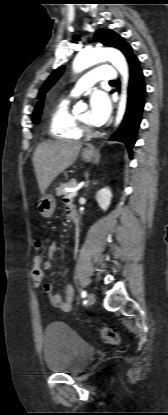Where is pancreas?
Returning <instances> with one entry per match:
<instances>
[{"mask_svg": "<svg viewBox=\"0 0 168 415\" xmlns=\"http://www.w3.org/2000/svg\"><path fill=\"white\" fill-rule=\"evenodd\" d=\"M77 186V181H69L66 183H61L60 186L56 189L57 196L68 195L69 192L65 191L64 188H74Z\"/></svg>", "mask_w": 168, "mask_h": 415, "instance_id": "pancreas-1", "label": "pancreas"}]
</instances>
